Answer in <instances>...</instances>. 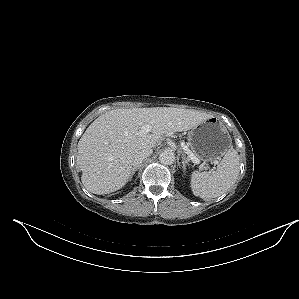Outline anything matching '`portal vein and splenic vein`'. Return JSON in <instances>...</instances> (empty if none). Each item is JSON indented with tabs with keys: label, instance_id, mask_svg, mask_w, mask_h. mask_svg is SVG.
Instances as JSON below:
<instances>
[{
	"label": "portal vein and splenic vein",
	"instance_id": "obj_1",
	"mask_svg": "<svg viewBox=\"0 0 299 299\" xmlns=\"http://www.w3.org/2000/svg\"><path fill=\"white\" fill-rule=\"evenodd\" d=\"M151 126L150 125H144L141 127V130L139 131L140 135H145L149 132H151ZM183 150L188 155V157L196 164L199 163V160L193 155V153L187 148V146L183 145Z\"/></svg>",
	"mask_w": 299,
	"mask_h": 299
}]
</instances>
